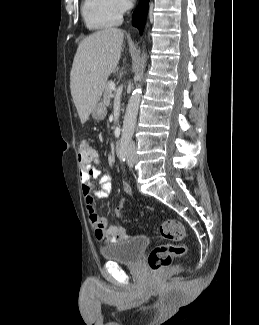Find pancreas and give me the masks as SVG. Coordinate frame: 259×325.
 Returning <instances> with one entry per match:
<instances>
[{
	"instance_id": "cf45deb5",
	"label": "pancreas",
	"mask_w": 259,
	"mask_h": 325,
	"mask_svg": "<svg viewBox=\"0 0 259 325\" xmlns=\"http://www.w3.org/2000/svg\"><path fill=\"white\" fill-rule=\"evenodd\" d=\"M110 83L108 82L104 88V94H103V104L105 106H108L110 104V99L113 96L112 90L110 88Z\"/></svg>"
}]
</instances>
